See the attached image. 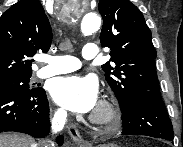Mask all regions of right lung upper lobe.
Masks as SVG:
<instances>
[{
    "label": "right lung upper lobe",
    "mask_w": 183,
    "mask_h": 147,
    "mask_svg": "<svg viewBox=\"0 0 183 147\" xmlns=\"http://www.w3.org/2000/svg\"><path fill=\"white\" fill-rule=\"evenodd\" d=\"M52 30L38 0H21L0 17V80L32 74L37 51L46 53Z\"/></svg>",
    "instance_id": "right-lung-upper-lobe-1"
}]
</instances>
